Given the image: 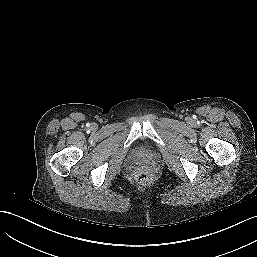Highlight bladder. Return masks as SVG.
Instances as JSON below:
<instances>
[{
  "instance_id": "obj_1",
  "label": "bladder",
  "mask_w": 257,
  "mask_h": 257,
  "mask_svg": "<svg viewBox=\"0 0 257 257\" xmlns=\"http://www.w3.org/2000/svg\"><path fill=\"white\" fill-rule=\"evenodd\" d=\"M135 156L137 157H146L151 155V149L145 145V144H140L137 145L134 150H133Z\"/></svg>"
}]
</instances>
